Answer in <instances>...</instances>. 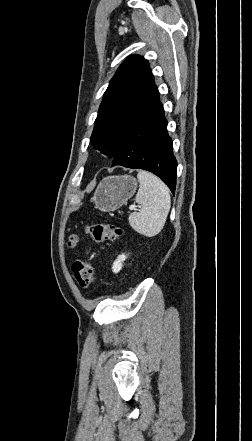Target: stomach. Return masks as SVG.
Returning a JSON list of instances; mask_svg holds the SVG:
<instances>
[{
	"label": "stomach",
	"instance_id": "0dacf381",
	"mask_svg": "<svg viewBox=\"0 0 252 441\" xmlns=\"http://www.w3.org/2000/svg\"><path fill=\"white\" fill-rule=\"evenodd\" d=\"M137 189V181L131 176H109L98 185L92 201L103 212L117 210L130 199Z\"/></svg>",
	"mask_w": 252,
	"mask_h": 441
}]
</instances>
